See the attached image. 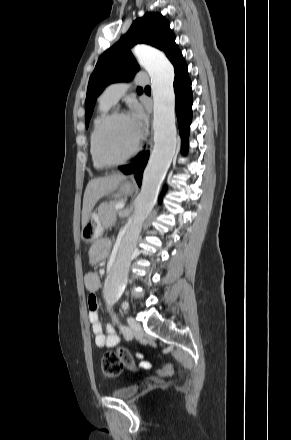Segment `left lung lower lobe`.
I'll use <instances>...</instances> for the list:
<instances>
[{
    "label": "left lung lower lobe",
    "instance_id": "left-lung-lower-lobe-1",
    "mask_svg": "<svg viewBox=\"0 0 291 440\" xmlns=\"http://www.w3.org/2000/svg\"><path fill=\"white\" fill-rule=\"evenodd\" d=\"M172 64L175 69L174 92L176 97V115L180 135L183 140V151L187 150L189 126L192 120V90L188 75V68L182 54ZM149 157L148 152L139 153L129 165L119 166L124 174H134L139 186H141L143 170Z\"/></svg>",
    "mask_w": 291,
    "mask_h": 440
}]
</instances>
